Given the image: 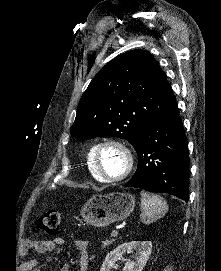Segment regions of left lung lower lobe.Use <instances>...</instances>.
<instances>
[{
  "mask_svg": "<svg viewBox=\"0 0 221 271\" xmlns=\"http://www.w3.org/2000/svg\"><path fill=\"white\" fill-rule=\"evenodd\" d=\"M133 147L138 154V168L127 187L170 193L187 202L190 160L176 103L145 125Z\"/></svg>",
  "mask_w": 221,
  "mask_h": 271,
  "instance_id": "1",
  "label": "left lung lower lobe"
}]
</instances>
